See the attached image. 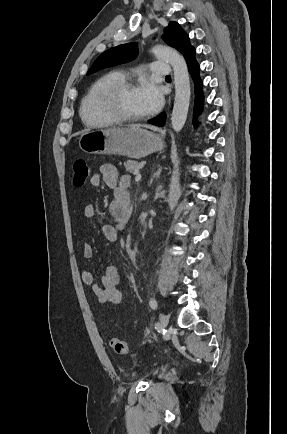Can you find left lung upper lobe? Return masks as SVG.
<instances>
[{
	"label": "left lung upper lobe",
	"mask_w": 287,
	"mask_h": 434,
	"mask_svg": "<svg viewBox=\"0 0 287 434\" xmlns=\"http://www.w3.org/2000/svg\"><path fill=\"white\" fill-rule=\"evenodd\" d=\"M163 35L168 45L182 53L185 59L195 54V49L189 42V37L177 22H170ZM138 54L137 44L128 43L113 47L102 53L93 63L87 75L103 68L129 62Z\"/></svg>",
	"instance_id": "left-lung-upper-lobe-1"
}]
</instances>
